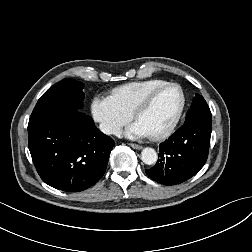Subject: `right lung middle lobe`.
<instances>
[{
    "mask_svg": "<svg viewBox=\"0 0 252 252\" xmlns=\"http://www.w3.org/2000/svg\"><path fill=\"white\" fill-rule=\"evenodd\" d=\"M82 89L83 83L73 79H63L58 82L40 97L29 122L59 111H81L84 100Z\"/></svg>",
    "mask_w": 252,
    "mask_h": 252,
    "instance_id": "right-lung-middle-lobe-1",
    "label": "right lung middle lobe"
}]
</instances>
